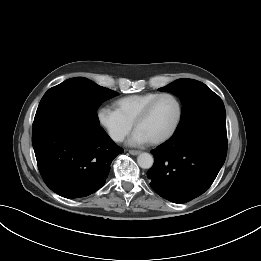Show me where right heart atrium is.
<instances>
[{
	"instance_id": "1",
	"label": "right heart atrium",
	"mask_w": 261,
	"mask_h": 261,
	"mask_svg": "<svg viewBox=\"0 0 261 261\" xmlns=\"http://www.w3.org/2000/svg\"><path fill=\"white\" fill-rule=\"evenodd\" d=\"M98 124L105 130L109 138L114 142H121L132 129V123L124 119L115 109L108 106L97 110Z\"/></svg>"
}]
</instances>
